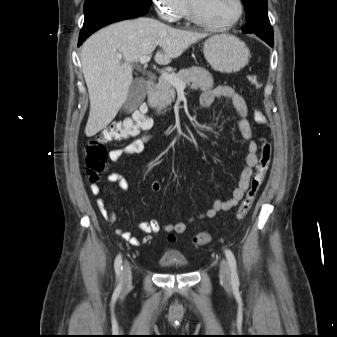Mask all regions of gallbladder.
<instances>
[{
  "label": "gallbladder",
  "mask_w": 337,
  "mask_h": 337,
  "mask_svg": "<svg viewBox=\"0 0 337 337\" xmlns=\"http://www.w3.org/2000/svg\"><path fill=\"white\" fill-rule=\"evenodd\" d=\"M146 93V82L143 78H136L130 85L128 98L124 108L128 111L136 109L143 101Z\"/></svg>",
  "instance_id": "gallbladder-1"
}]
</instances>
